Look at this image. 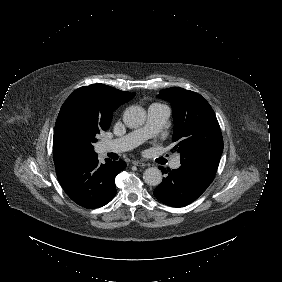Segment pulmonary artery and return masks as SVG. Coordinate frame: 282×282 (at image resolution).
Here are the masks:
<instances>
[{
    "mask_svg": "<svg viewBox=\"0 0 282 282\" xmlns=\"http://www.w3.org/2000/svg\"><path fill=\"white\" fill-rule=\"evenodd\" d=\"M171 110L167 105L154 103L149 106L147 122L144 126L135 129L125 136L104 143L106 152H124L141 144L147 138L154 136L166 123ZM179 158L172 162V168H178Z\"/></svg>",
    "mask_w": 282,
    "mask_h": 282,
    "instance_id": "pulmonary-artery-1",
    "label": "pulmonary artery"
}]
</instances>
